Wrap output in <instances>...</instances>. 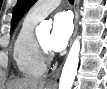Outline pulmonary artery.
<instances>
[{
  "mask_svg": "<svg viewBox=\"0 0 107 89\" xmlns=\"http://www.w3.org/2000/svg\"><path fill=\"white\" fill-rule=\"evenodd\" d=\"M60 2L61 0H40L31 7L28 14L35 19L41 20L51 13Z\"/></svg>",
  "mask_w": 107,
  "mask_h": 89,
  "instance_id": "obj_1",
  "label": "pulmonary artery"
}]
</instances>
